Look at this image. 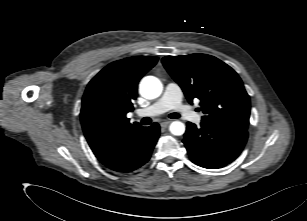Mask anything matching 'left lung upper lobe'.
Listing matches in <instances>:
<instances>
[{
    "label": "left lung upper lobe",
    "mask_w": 307,
    "mask_h": 221,
    "mask_svg": "<svg viewBox=\"0 0 307 221\" xmlns=\"http://www.w3.org/2000/svg\"><path fill=\"white\" fill-rule=\"evenodd\" d=\"M162 63L180 85L189 103L200 100L202 122L247 130L250 98L238 74L206 54L166 56Z\"/></svg>",
    "instance_id": "1"
}]
</instances>
